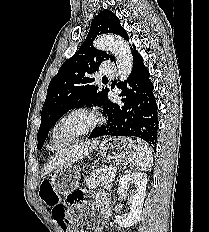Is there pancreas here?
Instances as JSON below:
<instances>
[{
  "label": "pancreas",
  "mask_w": 209,
  "mask_h": 232,
  "mask_svg": "<svg viewBox=\"0 0 209 232\" xmlns=\"http://www.w3.org/2000/svg\"><path fill=\"white\" fill-rule=\"evenodd\" d=\"M113 167H101L93 171L88 177L85 178L87 187L89 189H93L98 186H102L105 189L110 190L112 187V182L115 176V172L113 176L109 174Z\"/></svg>",
  "instance_id": "cf45deb5"
}]
</instances>
